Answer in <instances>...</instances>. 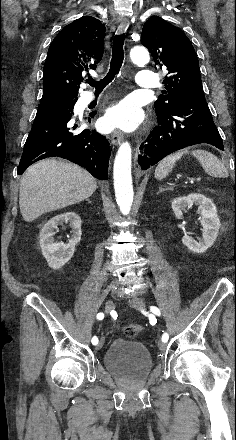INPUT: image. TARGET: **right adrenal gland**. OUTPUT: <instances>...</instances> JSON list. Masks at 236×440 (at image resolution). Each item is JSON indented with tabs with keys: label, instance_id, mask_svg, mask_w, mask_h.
Instances as JSON below:
<instances>
[{
	"label": "right adrenal gland",
	"instance_id": "1",
	"mask_svg": "<svg viewBox=\"0 0 236 440\" xmlns=\"http://www.w3.org/2000/svg\"><path fill=\"white\" fill-rule=\"evenodd\" d=\"M87 201H88L89 203H91L90 199H87Z\"/></svg>",
	"mask_w": 236,
	"mask_h": 440
}]
</instances>
